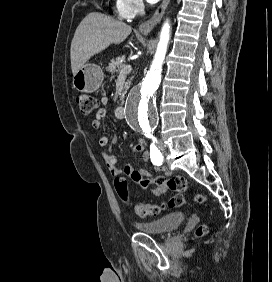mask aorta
<instances>
[{
    "instance_id": "aorta-1",
    "label": "aorta",
    "mask_w": 272,
    "mask_h": 282,
    "mask_svg": "<svg viewBox=\"0 0 272 282\" xmlns=\"http://www.w3.org/2000/svg\"><path fill=\"white\" fill-rule=\"evenodd\" d=\"M170 40V25L166 21L151 67L143 80L134 86L126 100V118L130 126L152 137L157 124L155 95L161 82L163 61Z\"/></svg>"
}]
</instances>
